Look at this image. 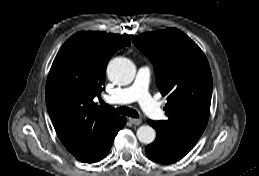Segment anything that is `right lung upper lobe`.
I'll use <instances>...</instances> for the list:
<instances>
[{
	"mask_svg": "<svg viewBox=\"0 0 259 176\" xmlns=\"http://www.w3.org/2000/svg\"><path fill=\"white\" fill-rule=\"evenodd\" d=\"M130 45L126 36L82 31L59 50L46 84V105L55 131L75 157L92 150L118 125L120 116L95 107L109 59Z\"/></svg>",
	"mask_w": 259,
	"mask_h": 176,
	"instance_id": "right-lung-upper-lobe-1",
	"label": "right lung upper lobe"
}]
</instances>
